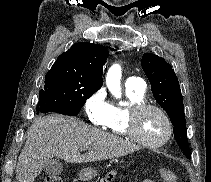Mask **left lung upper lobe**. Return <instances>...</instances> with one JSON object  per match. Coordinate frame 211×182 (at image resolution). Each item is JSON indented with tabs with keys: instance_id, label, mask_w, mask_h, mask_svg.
Returning a JSON list of instances; mask_svg holds the SVG:
<instances>
[{
	"instance_id": "5c2ea615",
	"label": "left lung upper lobe",
	"mask_w": 211,
	"mask_h": 182,
	"mask_svg": "<svg viewBox=\"0 0 211 182\" xmlns=\"http://www.w3.org/2000/svg\"><path fill=\"white\" fill-rule=\"evenodd\" d=\"M142 68L150 81L154 98L172 120L174 137L180 149L191 158L183 98L173 68L166 60L152 53L143 55Z\"/></svg>"
}]
</instances>
